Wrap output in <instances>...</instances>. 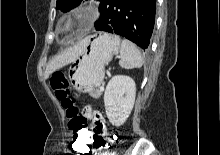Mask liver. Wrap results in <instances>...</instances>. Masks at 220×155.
Returning <instances> with one entry per match:
<instances>
[{
    "instance_id": "6515ba94",
    "label": "liver",
    "mask_w": 220,
    "mask_h": 155,
    "mask_svg": "<svg viewBox=\"0 0 220 155\" xmlns=\"http://www.w3.org/2000/svg\"><path fill=\"white\" fill-rule=\"evenodd\" d=\"M85 44L86 39H84L78 45L68 48L67 50L54 57L46 67V71L44 74L45 79H47L50 74H52L57 69L73 62L76 58H78V56L82 53Z\"/></svg>"
}]
</instances>
